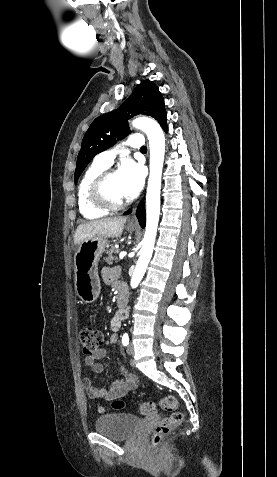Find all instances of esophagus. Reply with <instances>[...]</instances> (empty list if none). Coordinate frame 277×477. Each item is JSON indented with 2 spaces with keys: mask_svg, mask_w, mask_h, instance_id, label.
<instances>
[{
  "mask_svg": "<svg viewBox=\"0 0 277 477\" xmlns=\"http://www.w3.org/2000/svg\"><path fill=\"white\" fill-rule=\"evenodd\" d=\"M129 223H130V224H132V225H135V224H137V218H136V216H135V215H134V216H132V218L129 220Z\"/></svg>",
  "mask_w": 277,
  "mask_h": 477,
  "instance_id": "esophagus-1",
  "label": "esophagus"
}]
</instances>
